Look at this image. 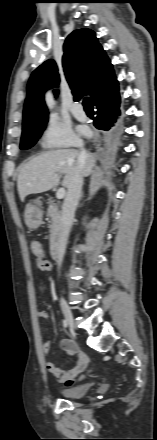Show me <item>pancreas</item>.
<instances>
[{
	"mask_svg": "<svg viewBox=\"0 0 157 440\" xmlns=\"http://www.w3.org/2000/svg\"><path fill=\"white\" fill-rule=\"evenodd\" d=\"M48 217L51 218L50 228V244L53 245L57 241V236L61 226V214L57 206L54 204L49 205L47 210Z\"/></svg>",
	"mask_w": 157,
	"mask_h": 440,
	"instance_id": "cf45deb5",
	"label": "pancreas"
}]
</instances>
